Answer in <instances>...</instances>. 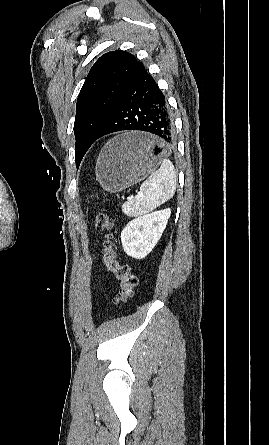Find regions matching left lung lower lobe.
I'll list each match as a JSON object with an SVG mask.
<instances>
[{
	"mask_svg": "<svg viewBox=\"0 0 269 445\" xmlns=\"http://www.w3.org/2000/svg\"><path fill=\"white\" fill-rule=\"evenodd\" d=\"M122 130L147 131L169 144L174 141V124L167 100L142 63L130 76L97 139Z\"/></svg>",
	"mask_w": 269,
	"mask_h": 445,
	"instance_id": "1",
	"label": "left lung lower lobe"
}]
</instances>
